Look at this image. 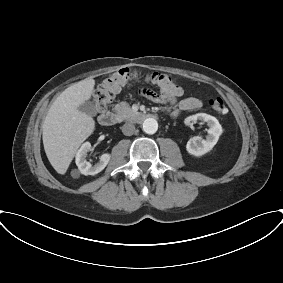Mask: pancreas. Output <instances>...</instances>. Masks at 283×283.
<instances>
[{"instance_id": "pancreas-1", "label": "pancreas", "mask_w": 283, "mask_h": 283, "mask_svg": "<svg viewBox=\"0 0 283 283\" xmlns=\"http://www.w3.org/2000/svg\"><path fill=\"white\" fill-rule=\"evenodd\" d=\"M114 111L116 112L117 117L121 120L128 119L134 114L127 102H120L119 104L115 105Z\"/></svg>"}]
</instances>
